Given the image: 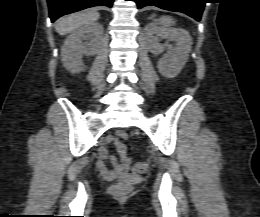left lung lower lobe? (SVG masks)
<instances>
[{"instance_id":"obj_1","label":"left lung lower lobe","mask_w":260,"mask_h":217,"mask_svg":"<svg viewBox=\"0 0 260 217\" xmlns=\"http://www.w3.org/2000/svg\"><path fill=\"white\" fill-rule=\"evenodd\" d=\"M138 8L156 6L165 10L182 12L199 21L206 3L205 0H133Z\"/></svg>"}]
</instances>
